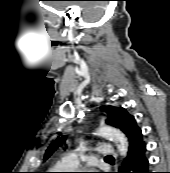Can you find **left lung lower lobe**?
I'll return each mask as SVG.
<instances>
[{
	"mask_svg": "<svg viewBox=\"0 0 170 173\" xmlns=\"http://www.w3.org/2000/svg\"><path fill=\"white\" fill-rule=\"evenodd\" d=\"M119 173H150L144 141L129 149L128 156L123 164V170Z\"/></svg>",
	"mask_w": 170,
	"mask_h": 173,
	"instance_id": "1",
	"label": "left lung lower lobe"
}]
</instances>
